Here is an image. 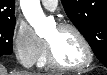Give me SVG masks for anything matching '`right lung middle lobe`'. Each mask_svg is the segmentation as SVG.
Masks as SVG:
<instances>
[{
    "label": "right lung middle lobe",
    "instance_id": "obj_1",
    "mask_svg": "<svg viewBox=\"0 0 107 75\" xmlns=\"http://www.w3.org/2000/svg\"><path fill=\"white\" fill-rule=\"evenodd\" d=\"M15 28V19L0 21V54L10 55L12 53V41Z\"/></svg>",
    "mask_w": 107,
    "mask_h": 75
}]
</instances>
